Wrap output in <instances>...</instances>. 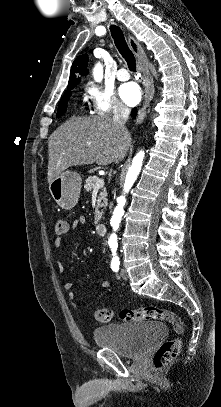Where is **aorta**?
Wrapping results in <instances>:
<instances>
[{
  "label": "aorta",
  "instance_id": "aorta-1",
  "mask_svg": "<svg viewBox=\"0 0 221 407\" xmlns=\"http://www.w3.org/2000/svg\"><path fill=\"white\" fill-rule=\"evenodd\" d=\"M94 79L96 81H101L103 77V67L100 63H98L94 70H93ZM144 158V152L140 151L135 155L133 158L132 164L127 172L124 188H123V195L118 198V204L113 211V215L110 220V224L113 228L114 233H112L108 239V245L110 246L113 254V261H118L119 258L116 255V250L118 247L117 235L116 231L119 228L122 216L124 215V206L126 203L125 194L129 192L131 187L133 186L134 182L136 181L142 167V162Z\"/></svg>",
  "mask_w": 221,
  "mask_h": 407
}]
</instances>
